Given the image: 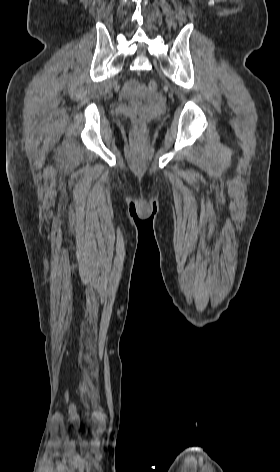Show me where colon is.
<instances>
[{"mask_svg": "<svg viewBox=\"0 0 280 472\" xmlns=\"http://www.w3.org/2000/svg\"><path fill=\"white\" fill-rule=\"evenodd\" d=\"M157 83L155 81H150L148 83V90L149 91H156L157 90ZM133 131L136 137L143 138L146 131L145 122L141 118H137L134 122Z\"/></svg>", "mask_w": 280, "mask_h": 472, "instance_id": "colon-1", "label": "colon"}]
</instances>
